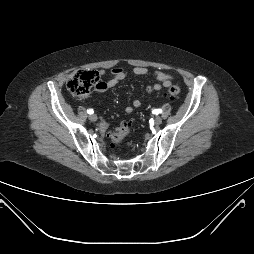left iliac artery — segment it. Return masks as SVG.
Instances as JSON below:
<instances>
[{
    "label": "left iliac artery",
    "instance_id": "left-iliac-artery-1",
    "mask_svg": "<svg viewBox=\"0 0 254 254\" xmlns=\"http://www.w3.org/2000/svg\"><path fill=\"white\" fill-rule=\"evenodd\" d=\"M162 111L160 110V109H154L153 111H152V113L153 114H156V115H158V114H160Z\"/></svg>",
    "mask_w": 254,
    "mask_h": 254
}]
</instances>
